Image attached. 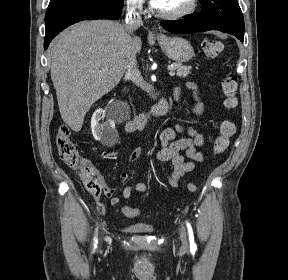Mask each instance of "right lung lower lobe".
Segmentation results:
<instances>
[{
  "mask_svg": "<svg viewBox=\"0 0 288 280\" xmlns=\"http://www.w3.org/2000/svg\"><path fill=\"white\" fill-rule=\"evenodd\" d=\"M121 8L102 0H61L49 5L45 16L44 49L69 25L82 20L117 19L121 15Z\"/></svg>",
  "mask_w": 288,
  "mask_h": 280,
  "instance_id": "98d812e1",
  "label": "right lung lower lobe"
}]
</instances>
